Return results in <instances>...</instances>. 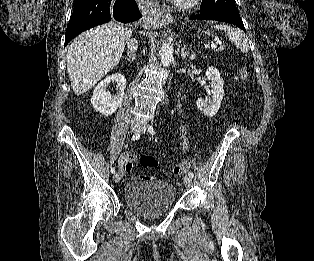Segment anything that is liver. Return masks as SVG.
<instances>
[{
	"instance_id": "6515ba94",
	"label": "liver",
	"mask_w": 314,
	"mask_h": 261,
	"mask_svg": "<svg viewBox=\"0 0 314 261\" xmlns=\"http://www.w3.org/2000/svg\"><path fill=\"white\" fill-rule=\"evenodd\" d=\"M131 31L117 23L99 25L79 35L67 52V71L76 95L91 89L115 68Z\"/></svg>"
}]
</instances>
